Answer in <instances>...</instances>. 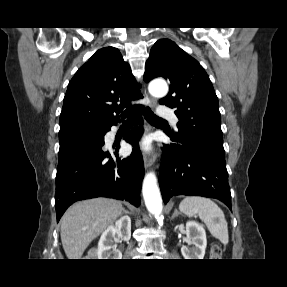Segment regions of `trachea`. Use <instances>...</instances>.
<instances>
[{
  "mask_svg": "<svg viewBox=\"0 0 287 287\" xmlns=\"http://www.w3.org/2000/svg\"><path fill=\"white\" fill-rule=\"evenodd\" d=\"M145 119L149 122V123H162V122H166V120L159 118L158 116H156L149 107H146L145 109V113H144Z\"/></svg>",
  "mask_w": 287,
  "mask_h": 287,
  "instance_id": "1",
  "label": "trachea"
}]
</instances>
